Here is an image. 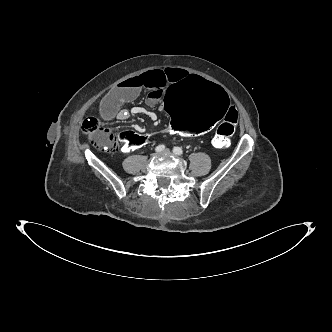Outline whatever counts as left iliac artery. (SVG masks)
I'll return each instance as SVG.
<instances>
[{
    "label": "left iliac artery",
    "instance_id": "obj_1",
    "mask_svg": "<svg viewBox=\"0 0 332 332\" xmlns=\"http://www.w3.org/2000/svg\"><path fill=\"white\" fill-rule=\"evenodd\" d=\"M173 152H174V154H176V155H183V150H182V148H180V147H174V148H173Z\"/></svg>",
    "mask_w": 332,
    "mask_h": 332
}]
</instances>
